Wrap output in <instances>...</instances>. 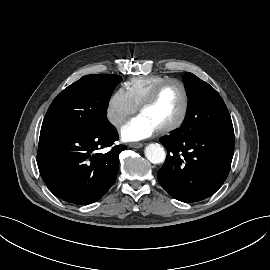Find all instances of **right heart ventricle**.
Segmentation results:
<instances>
[{"mask_svg":"<svg viewBox=\"0 0 270 270\" xmlns=\"http://www.w3.org/2000/svg\"><path fill=\"white\" fill-rule=\"evenodd\" d=\"M167 79L170 78L161 75L136 76L125 83L124 89L130 100L138 108L153 88Z\"/></svg>","mask_w":270,"mask_h":270,"instance_id":"right-heart-ventricle-1","label":"right heart ventricle"}]
</instances>
